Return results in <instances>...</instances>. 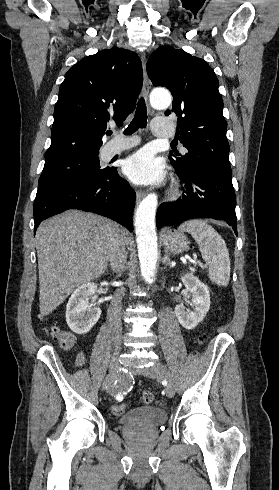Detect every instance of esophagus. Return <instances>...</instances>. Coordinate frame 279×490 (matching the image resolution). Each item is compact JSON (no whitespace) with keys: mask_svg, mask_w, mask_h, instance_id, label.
Here are the masks:
<instances>
[{"mask_svg":"<svg viewBox=\"0 0 279 490\" xmlns=\"http://www.w3.org/2000/svg\"><path fill=\"white\" fill-rule=\"evenodd\" d=\"M141 59H142V68H143V77H144L142 93H143L144 99L147 100L148 95H149V90H150V84H149V78H148V75L146 72V60H145L144 54L141 55ZM148 111H149V113H153V111L150 107H148ZM144 197H145V194L142 191H137L136 203L139 204Z\"/></svg>","mask_w":279,"mask_h":490,"instance_id":"1","label":"esophagus"}]
</instances>
